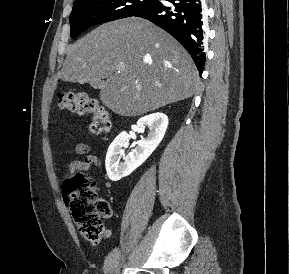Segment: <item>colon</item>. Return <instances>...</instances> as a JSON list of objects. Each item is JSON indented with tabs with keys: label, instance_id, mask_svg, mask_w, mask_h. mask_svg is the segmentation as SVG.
<instances>
[{
	"label": "colon",
	"instance_id": "1",
	"mask_svg": "<svg viewBox=\"0 0 289 274\" xmlns=\"http://www.w3.org/2000/svg\"><path fill=\"white\" fill-rule=\"evenodd\" d=\"M58 104L63 110L90 114L89 131L93 134L107 132L111 127L109 112L84 92L59 93ZM63 196L80 234L89 241L99 240L104 233L103 220L110 217L111 208L98 196L94 179L81 173L65 176Z\"/></svg>",
	"mask_w": 289,
	"mask_h": 274
}]
</instances>
